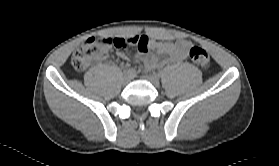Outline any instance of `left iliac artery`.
Masks as SVG:
<instances>
[{"label":"left iliac artery","mask_w":279,"mask_h":166,"mask_svg":"<svg viewBox=\"0 0 279 166\" xmlns=\"http://www.w3.org/2000/svg\"><path fill=\"white\" fill-rule=\"evenodd\" d=\"M154 75H155V76H157V77H159V76H160V74H157V73H155Z\"/></svg>","instance_id":"1"}]
</instances>
